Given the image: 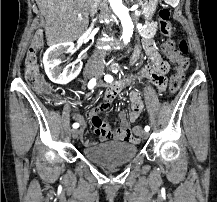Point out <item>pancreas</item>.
<instances>
[{"label": "pancreas", "instance_id": "1", "mask_svg": "<svg viewBox=\"0 0 217 202\" xmlns=\"http://www.w3.org/2000/svg\"><path fill=\"white\" fill-rule=\"evenodd\" d=\"M141 34L143 38H154L157 35V30H142Z\"/></svg>", "mask_w": 217, "mask_h": 202}]
</instances>
